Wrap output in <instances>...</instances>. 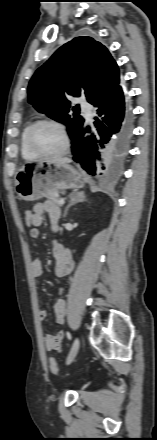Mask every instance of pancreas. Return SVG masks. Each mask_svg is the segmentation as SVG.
<instances>
[{
	"mask_svg": "<svg viewBox=\"0 0 157 440\" xmlns=\"http://www.w3.org/2000/svg\"><path fill=\"white\" fill-rule=\"evenodd\" d=\"M49 202L53 203L54 205L61 206L59 203V195L58 193H53L51 195L46 196Z\"/></svg>",
	"mask_w": 157,
	"mask_h": 440,
	"instance_id": "pancreas-1",
	"label": "pancreas"
}]
</instances>
